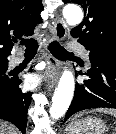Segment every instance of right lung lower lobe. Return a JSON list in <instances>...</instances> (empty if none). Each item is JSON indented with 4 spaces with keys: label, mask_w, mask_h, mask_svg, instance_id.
<instances>
[{
    "label": "right lung lower lobe",
    "mask_w": 116,
    "mask_h": 134,
    "mask_svg": "<svg viewBox=\"0 0 116 134\" xmlns=\"http://www.w3.org/2000/svg\"><path fill=\"white\" fill-rule=\"evenodd\" d=\"M20 83V80L14 79L9 88L0 90V118L11 122L24 134L32 93H23L19 88Z\"/></svg>",
    "instance_id": "obj_1"
}]
</instances>
